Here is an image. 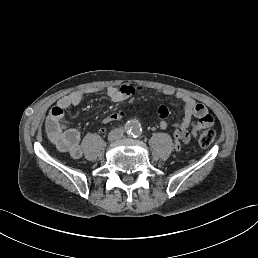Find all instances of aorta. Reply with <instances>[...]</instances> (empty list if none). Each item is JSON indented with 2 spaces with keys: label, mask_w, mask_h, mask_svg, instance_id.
Here are the masks:
<instances>
[{
  "label": "aorta",
  "mask_w": 258,
  "mask_h": 258,
  "mask_svg": "<svg viewBox=\"0 0 258 258\" xmlns=\"http://www.w3.org/2000/svg\"><path fill=\"white\" fill-rule=\"evenodd\" d=\"M128 130L133 134H138L141 130L140 124L136 121H132L128 124Z\"/></svg>",
  "instance_id": "obj_1"
}]
</instances>
